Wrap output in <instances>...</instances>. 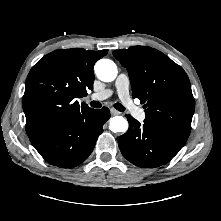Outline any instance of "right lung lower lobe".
<instances>
[{"mask_svg":"<svg viewBox=\"0 0 221 221\" xmlns=\"http://www.w3.org/2000/svg\"><path fill=\"white\" fill-rule=\"evenodd\" d=\"M110 118L109 109L91 108L70 116L65 122L34 132L29 136L32 145L50 164L73 168L91 154L103 124Z\"/></svg>","mask_w":221,"mask_h":221,"instance_id":"obj_1","label":"right lung lower lobe"}]
</instances>
